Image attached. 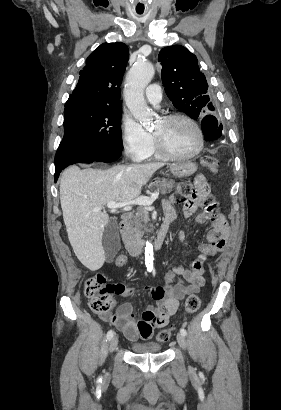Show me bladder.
I'll list each match as a JSON object with an SVG mask.
<instances>
[{
  "mask_svg": "<svg viewBox=\"0 0 281 410\" xmlns=\"http://www.w3.org/2000/svg\"><path fill=\"white\" fill-rule=\"evenodd\" d=\"M163 347L155 342L134 343L131 345V351L134 354H158L162 352Z\"/></svg>",
  "mask_w": 281,
  "mask_h": 410,
  "instance_id": "bladder-1",
  "label": "bladder"
}]
</instances>
